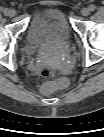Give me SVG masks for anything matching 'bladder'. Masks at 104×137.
<instances>
[{"instance_id":"bladder-1","label":"bladder","mask_w":104,"mask_h":137,"mask_svg":"<svg viewBox=\"0 0 104 137\" xmlns=\"http://www.w3.org/2000/svg\"><path fill=\"white\" fill-rule=\"evenodd\" d=\"M70 43V25L56 8L41 11L26 30L25 50L31 56L56 59L68 51Z\"/></svg>"}]
</instances>
